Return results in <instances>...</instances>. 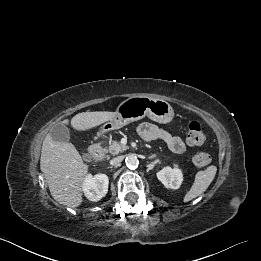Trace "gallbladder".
<instances>
[{
	"instance_id": "bac80fb5",
	"label": "gallbladder",
	"mask_w": 261,
	"mask_h": 261,
	"mask_svg": "<svg viewBox=\"0 0 261 261\" xmlns=\"http://www.w3.org/2000/svg\"><path fill=\"white\" fill-rule=\"evenodd\" d=\"M50 135L53 140L57 142H69L70 140V132L68 128L61 123H58L51 128ZM87 157V153H84V158Z\"/></svg>"
}]
</instances>
